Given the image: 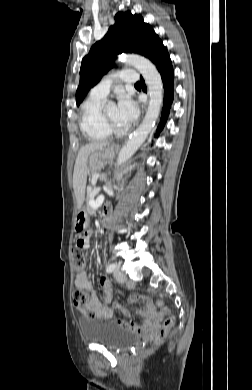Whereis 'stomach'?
<instances>
[{"mask_svg": "<svg viewBox=\"0 0 252 390\" xmlns=\"http://www.w3.org/2000/svg\"><path fill=\"white\" fill-rule=\"evenodd\" d=\"M114 155L115 148L113 146H107L102 150L91 153L88 160V172L94 173L101 170L108 161L113 159ZM88 225L89 213L86 207L80 209L76 214L74 228L76 231H81L86 229Z\"/></svg>", "mask_w": 252, "mask_h": 390, "instance_id": "stomach-1", "label": "stomach"}]
</instances>
